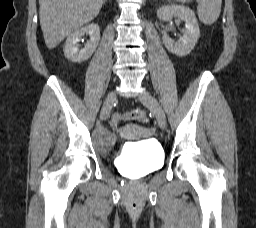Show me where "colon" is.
<instances>
[{"mask_svg":"<svg viewBox=\"0 0 256 228\" xmlns=\"http://www.w3.org/2000/svg\"><path fill=\"white\" fill-rule=\"evenodd\" d=\"M123 120L146 122L147 117L142 110H131L125 113H115L111 119L113 125H118Z\"/></svg>","mask_w":256,"mask_h":228,"instance_id":"obj_1","label":"colon"}]
</instances>
